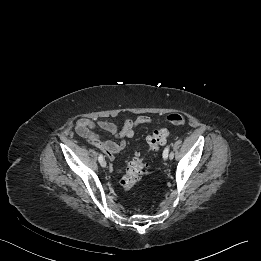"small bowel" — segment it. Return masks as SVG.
<instances>
[{
    "label": "small bowel",
    "instance_id": "obj_1",
    "mask_svg": "<svg viewBox=\"0 0 261 261\" xmlns=\"http://www.w3.org/2000/svg\"><path fill=\"white\" fill-rule=\"evenodd\" d=\"M173 116L184 119L183 115L175 113L169 115L167 117V120L169 121ZM157 123V120L149 116L140 115L136 118H127L124 121L122 128L119 129L116 124L107 120L99 119L97 121H94L88 118H80L76 122L75 129L80 136H82L93 146L101 149L112 161L114 159V155L119 153L127 146V139H130L134 136L139 126ZM96 127H99L100 129L112 134L116 138L120 139V141L113 142L102 140L95 132Z\"/></svg>",
    "mask_w": 261,
    "mask_h": 261
}]
</instances>
